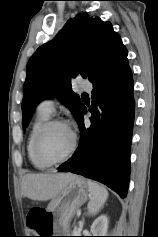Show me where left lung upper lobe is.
<instances>
[{"label": "left lung upper lobe", "mask_w": 158, "mask_h": 237, "mask_svg": "<svg viewBox=\"0 0 158 237\" xmlns=\"http://www.w3.org/2000/svg\"><path fill=\"white\" fill-rule=\"evenodd\" d=\"M127 59V49L109 22L87 13L70 19L56 37L40 46L27 64L22 101L25 128L37 104L59 94L76 120L84 104L71 90L77 75L99 82Z\"/></svg>", "instance_id": "1"}]
</instances>
